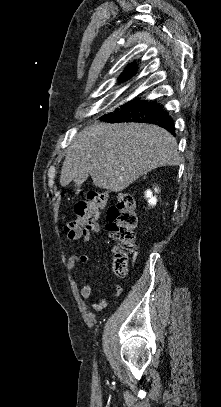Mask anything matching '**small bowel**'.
Here are the masks:
<instances>
[{
	"instance_id": "obj_1",
	"label": "small bowel",
	"mask_w": 221,
	"mask_h": 407,
	"mask_svg": "<svg viewBox=\"0 0 221 407\" xmlns=\"http://www.w3.org/2000/svg\"><path fill=\"white\" fill-rule=\"evenodd\" d=\"M101 230L100 226H98L97 231ZM89 238H84V241H88ZM89 261V256L87 254L77 255L75 253H70L66 262V268L68 271H73L78 264H85ZM122 286L120 284H116L114 287V295L118 297L122 293ZM93 292V287L90 283L85 282L84 285L79 289V295L81 299L86 300L88 299ZM108 304V298L104 294L101 296L99 301L93 305V309L95 311H100Z\"/></svg>"
}]
</instances>
